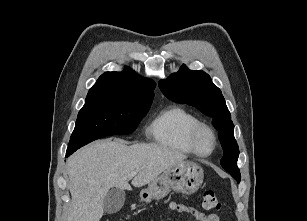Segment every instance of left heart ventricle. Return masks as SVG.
<instances>
[{
    "instance_id": "1",
    "label": "left heart ventricle",
    "mask_w": 307,
    "mask_h": 221,
    "mask_svg": "<svg viewBox=\"0 0 307 221\" xmlns=\"http://www.w3.org/2000/svg\"><path fill=\"white\" fill-rule=\"evenodd\" d=\"M198 146L201 151L208 152L212 147V139L207 133H201L198 138Z\"/></svg>"
}]
</instances>
